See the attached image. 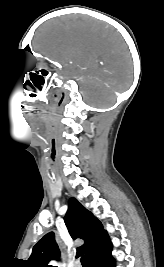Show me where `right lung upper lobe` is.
<instances>
[{
    "instance_id": "obj_1",
    "label": "right lung upper lobe",
    "mask_w": 164,
    "mask_h": 267,
    "mask_svg": "<svg viewBox=\"0 0 164 267\" xmlns=\"http://www.w3.org/2000/svg\"><path fill=\"white\" fill-rule=\"evenodd\" d=\"M65 224L73 239L81 238L85 243L77 249L90 261L95 256L112 248L108 233L101 222L85 209L76 198L69 199V208L65 215ZM60 251L53 232L47 233L33 247L28 259L30 267H50L51 259H58ZM52 267V266H51Z\"/></svg>"
}]
</instances>
